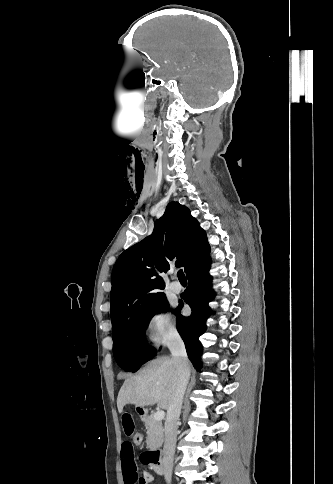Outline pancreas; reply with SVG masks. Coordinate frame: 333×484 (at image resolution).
<instances>
[{
    "label": "pancreas",
    "mask_w": 333,
    "mask_h": 484,
    "mask_svg": "<svg viewBox=\"0 0 333 484\" xmlns=\"http://www.w3.org/2000/svg\"><path fill=\"white\" fill-rule=\"evenodd\" d=\"M144 422L147 430V448L153 451L161 447L164 440V429L161 421L154 419V415L147 416Z\"/></svg>",
    "instance_id": "pancreas-1"
}]
</instances>
